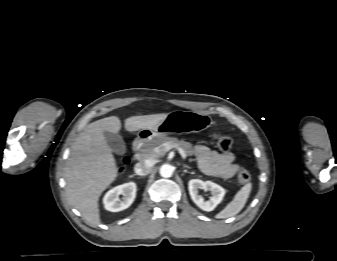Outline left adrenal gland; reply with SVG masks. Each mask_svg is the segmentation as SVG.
Instances as JSON below:
<instances>
[{
	"mask_svg": "<svg viewBox=\"0 0 337 261\" xmlns=\"http://www.w3.org/2000/svg\"><path fill=\"white\" fill-rule=\"evenodd\" d=\"M183 167H184V168H188V169H190V167H189V166H187V165H184Z\"/></svg>",
	"mask_w": 337,
	"mask_h": 261,
	"instance_id": "a2214340",
	"label": "left adrenal gland"
}]
</instances>
